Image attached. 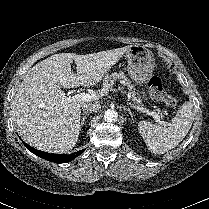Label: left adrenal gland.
<instances>
[{
	"mask_svg": "<svg viewBox=\"0 0 209 209\" xmlns=\"http://www.w3.org/2000/svg\"><path fill=\"white\" fill-rule=\"evenodd\" d=\"M124 108V110H126V111H128L129 112V114H130V116H131V119L133 120V122H134V119H133V113H132V111L130 110V108H127V107H123Z\"/></svg>",
	"mask_w": 209,
	"mask_h": 209,
	"instance_id": "a2214340",
	"label": "left adrenal gland"
}]
</instances>
